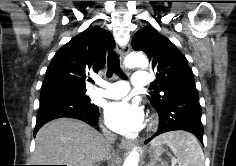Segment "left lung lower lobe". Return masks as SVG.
Instances as JSON below:
<instances>
[{"mask_svg": "<svg viewBox=\"0 0 236 166\" xmlns=\"http://www.w3.org/2000/svg\"><path fill=\"white\" fill-rule=\"evenodd\" d=\"M157 112L160 116V125L153 137L169 131L185 130L193 133L203 144L202 110L198 95L191 94L179 98ZM151 139L145 141V143L147 144Z\"/></svg>", "mask_w": 236, "mask_h": 166, "instance_id": "0a47b994", "label": "left lung lower lobe"}]
</instances>
